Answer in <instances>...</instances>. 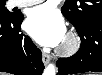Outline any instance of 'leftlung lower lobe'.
<instances>
[{
    "instance_id": "obj_1",
    "label": "left lung lower lobe",
    "mask_w": 102,
    "mask_h": 75,
    "mask_svg": "<svg viewBox=\"0 0 102 75\" xmlns=\"http://www.w3.org/2000/svg\"><path fill=\"white\" fill-rule=\"evenodd\" d=\"M80 39L79 51L57 62L60 75L102 71V22L91 21L75 26Z\"/></svg>"
}]
</instances>
